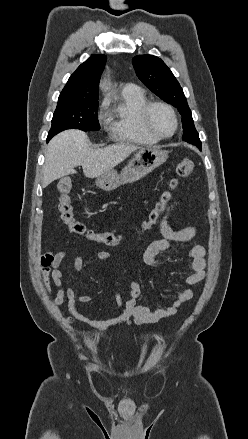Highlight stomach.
Returning a JSON list of instances; mask_svg holds the SVG:
<instances>
[{
  "label": "stomach",
  "mask_w": 248,
  "mask_h": 439,
  "mask_svg": "<svg viewBox=\"0 0 248 439\" xmlns=\"http://www.w3.org/2000/svg\"><path fill=\"white\" fill-rule=\"evenodd\" d=\"M168 158V151L158 147H141L122 169L121 174L110 170L96 178L95 184L105 191H112L118 186L137 181L163 164Z\"/></svg>",
  "instance_id": "0dacf381"
}]
</instances>
